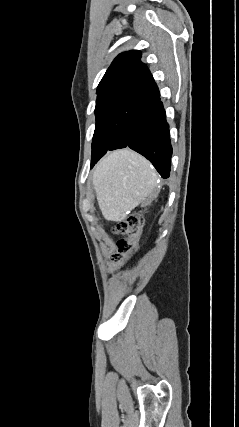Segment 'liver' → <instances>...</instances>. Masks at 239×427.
Returning a JSON list of instances; mask_svg holds the SVG:
<instances>
[{
	"mask_svg": "<svg viewBox=\"0 0 239 427\" xmlns=\"http://www.w3.org/2000/svg\"><path fill=\"white\" fill-rule=\"evenodd\" d=\"M93 186L103 217L119 222L139 204L151 202L158 190V175L144 157L128 148L120 149L98 163Z\"/></svg>",
	"mask_w": 239,
	"mask_h": 427,
	"instance_id": "obj_1",
	"label": "liver"
}]
</instances>
